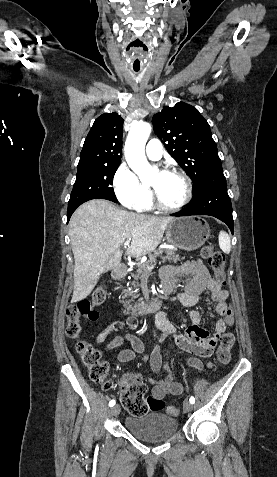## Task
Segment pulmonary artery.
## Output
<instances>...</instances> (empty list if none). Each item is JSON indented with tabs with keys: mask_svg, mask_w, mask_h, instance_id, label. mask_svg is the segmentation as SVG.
Listing matches in <instances>:
<instances>
[{
	"mask_svg": "<svg viewBox=\"0 0 277 477\" xmlns=\"http://www.w3.org/2000/svg\"><path fill=\"white\" fill-rule=\"evenodd\" d=\"M146 155L151 160H159L162 157V146L159 140L152 139L148 142Z\"/></svg>",
	"mask_w": 277,
	"mask_h": 477,
	"instance_id": "obj_1",
	"label": "pulmonary artery"
}]
</instances>
